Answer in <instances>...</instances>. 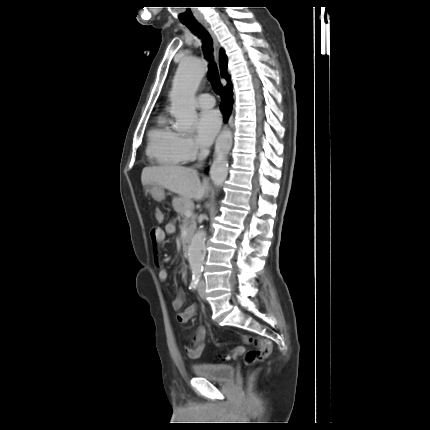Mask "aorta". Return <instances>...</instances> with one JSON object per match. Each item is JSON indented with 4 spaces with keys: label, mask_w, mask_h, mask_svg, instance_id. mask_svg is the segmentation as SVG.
I'll return each mask as SVG.
<instances>
[{
    "label": "aorta",
    "mask_w": 430,
    "mask_h": 430,
    "mask_svg": "<svg viewBox=\"0 0 430 430\" xmlns=\"http://www.w3.org/2000/svg\"><path fill=\"white\" fill-rule=\"evenodd\" d=\"M207 71L206 63L201 59H183L176 71L170 92V113L174 116L175 129L190 132L197 119L195 94ZM233 143L232 131L222 130L216 140L210 177L216 187H221L228 175V154ZM206 231L199 229L194 234L188 249V262L193 273H200L206 255Z\"/></svg>",
    "instance_id": "1"
}]
</instances>
